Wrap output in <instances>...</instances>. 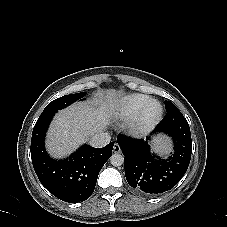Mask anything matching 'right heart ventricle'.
<instances>
[{"instance_id":"right-heart-ventricle-1","label":"right heart ventricle","mask_w":227,"mask_h":227,"mask_svg":"<svg viewBox=\"0 0 227 227\" xmlns=\"http://www.w3.org/2000/svg\"><path fill=\"white\" fill-rule=\"evenodd\" d=\"M149 100V97L140 94L123 97L113 106V114L119 119H131L141 111Z\"/></svg>"}]
</instances>
